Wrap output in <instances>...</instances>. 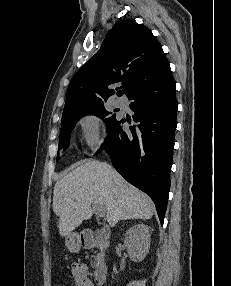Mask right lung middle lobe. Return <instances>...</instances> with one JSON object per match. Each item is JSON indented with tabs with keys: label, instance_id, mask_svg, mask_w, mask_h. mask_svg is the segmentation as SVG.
Segmentation results:
<instances>
[{
	"label": "right lung middle lobe",
	"instance_id": "obj_1",
	"mask_svg": "<svg viewBox=\"0 0 231 286\" xmlns=\"http://www.w3.org/2000/svg\"><path fill=\"white\" fill-rule=\"evenodd\" d=\"M87 114H94L100 118H104L105 116L109 115L110 112H108L105 108L103 103L85 108L73 113H70L68 115L62 116L61 121V130H60V139H59V149L63 147H68L69 145V136L71 133V130L74 128L76 122L79 120L81 116L87 115ZM116 121L115 115L112 117H109L105 119V122L107 124V129L110 128V126ZM59 157L57 158V160Z\"/></svg>",
	"mask_w": 231,
	"mask_h": 286
}]
</instances>
